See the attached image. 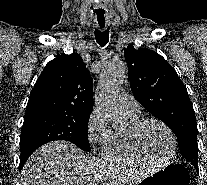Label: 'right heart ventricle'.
<instances>
[{"mask_svg":"<svg viewBox=\"0 0 207 185\" xmlns=\"http://www.w3.org/2000/svg\"><path fill=\"white\" fill-rule=\"evenodd\" d=\"M128 115L130 116V125L139 119L138 114L128 113ZM129 127L111 131L102 145L103 157L118 164L149 163L150 160L144 157L132 144L128 133Z\"/></svg>","mask_w":207,"mask_h":185,"instance_id":"right-heart-ventricle-1","label":"right heart ventricle"}]
</instances>
